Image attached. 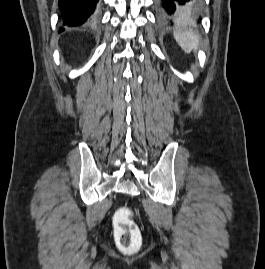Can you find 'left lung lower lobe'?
<instances>
[{"instance_id": "0a47b994", "label": "left lung lower lobe", "mask_w": 265, "mask_h": 269, "mask_svg": "<svg viewBox=\"0 0 265 269\" xmlns=\"http://www.w3.org/2000/svg\"><path fill=\"white\" fill-rule=\"evenodd\" d=\"M160 20L171 25L175 21L193 19L202 13L201 0H156Z\"/></svg>"}]
</instances>
